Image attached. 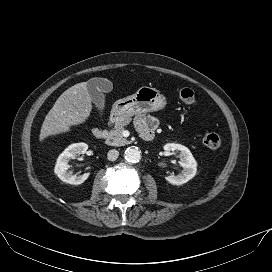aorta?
<instances>
[{
	"label": "aorta",
	"mask_w": 272,
	"mask_h": 272,
	"mask_svg": "<svg viewBox=\"0 0 272 272\" xmlns=\"http://www.w3.org/2000/svg\"><path fill=\"white\" fill-rule=\"evenodd\" d=\"M124 157L130 163H138L141 160V152L137 148L129 147L125 150Z\"/></svg>",
	"instance_id": "aorta-1"
}]
</instances>
